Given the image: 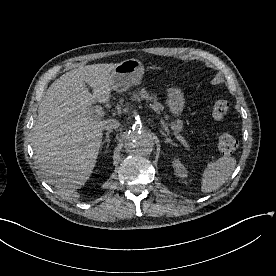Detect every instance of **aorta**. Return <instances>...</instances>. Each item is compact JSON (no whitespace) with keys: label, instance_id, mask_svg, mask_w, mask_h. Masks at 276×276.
Listing matches in <instances>:
<instances>
[{"label":"aorta","instance_id":"aorta-1","mask_svg":"<svg viewBox=\"0 0 276 276\" xmlns=\"http://www.w3.org/2000/svg\"><path fill=\"white\" fill-rule=\"evenodd\" d=\"M154 147L153 137L146 132L132 129L128 132L125 149L136 156L149 155Z\"/></svg>","mask_w":276,"mask_h":276}]
</instances>
